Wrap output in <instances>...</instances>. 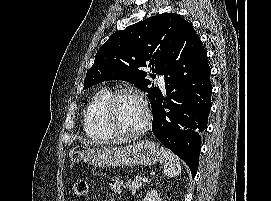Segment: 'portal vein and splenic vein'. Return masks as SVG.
<instances>
[{
    "instance_id": "18ae733b",
    "label": "portal vein and splenic vein",
    "mask_w": 271,
    "mask_h": 201,
    "mask_svg": "<svg viewBox=\"0 0 271 201\" xmlns=\"http://www.w3.org/2000/svg\"><path fill=\"white\" fill-rule=\"evenodd\" d=\"M142 181H143V182H147V181H148V178H145V177H144V178H142Z\"/></svg>"
}]
</instances>
